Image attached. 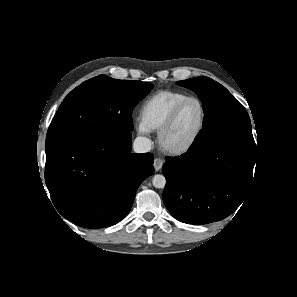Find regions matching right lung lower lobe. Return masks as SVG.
I'll return each mask as SVG.
<instances>
[{"label":"right lung lower lobe","mask_w":297,"mask_h":297,"mask_svg":"<svg viewBox=\"0 0 297 297\" xmlns=\"http://www.w3.org/2000/svg\"><path fill=\"white\" fill-rule=\"evenodd\" d=\"M131 132L90 135L46 154L45 181L61 215L105 228L130 211L139 185L153 174L151 153H131Z\"/></svg>","instance_id":"obj_1"}]
</instances>
